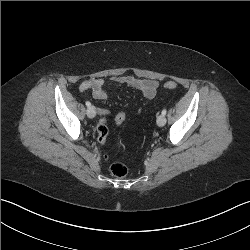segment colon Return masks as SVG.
I'll return each mask as SVG.
<instances>
[{
    "label": "colon",
    "mask_w": 250,
    "mask_h": 250,
    "mask_svg": "<svg viewBox=\"0 0 250 250\" xmlns=\"http://www.w3.org/2000/svg\"><path fill=\"white\" fill-rule=\"evenodd\" d=\"M164 88L167 90H174L177 88V84L173 81H168L164 84ZM127 115L123 111H118L115 117V128H120V125L127 120ZM97 133L99 144L101 146H106L108 144V127L106 124V119L102 117L97 126ZM111 174L116 178H123L127 175V167L120 162L113 163L110 167Z\"/></svg>",
    "instance_id": "5ec220e1"
}]
</instances>
